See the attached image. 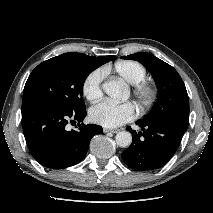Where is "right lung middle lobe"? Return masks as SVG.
<instances>
[{
    "instance_id": "obj_1",
    "label": "right lung middle lobe",
    "mask_w": 213,
    "mask_h": 213,
    "mask_svg": "<svg viewBox=\"0 0 213 213\" xmlns=\"http://www.w3.org/2000/svg\"><path fill=\"white\" fill-rule=\"evenodd\" d=\"M96 66L76 53H64L39 64L30 74L23 98L38 96L69 113L84 110V81Z\"/></svg>"
}]
</instances>
